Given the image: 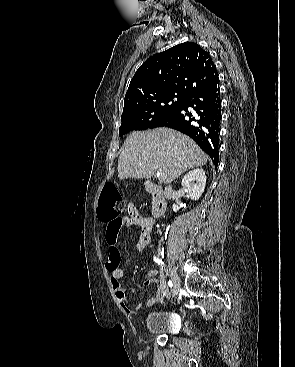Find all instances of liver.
<instances>
[{
    "label": "liver",
    "instance_id": "liver-1",
    "mask_svg": "<svg viewBox=\"0 0 295 367\" xmlns=\"http://www.w3.org/2000/svg\"><path fill=\"white\" fill-rule=\"evenodd\" d=\"M208 156L188 136L169 128L131 133L118 159L120 179H149L157 170L171 183L185 171L203 166Z\"/></svg>",
    "mask_w": 295,
    "mask_h": 367
}]
</instances>
